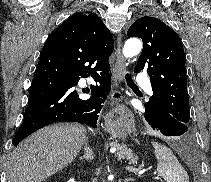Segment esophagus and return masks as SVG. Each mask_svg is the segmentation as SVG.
<instances>
[{
    "instance_id": "34e87169",
    "label": "esophagus",
    "mask_w": 211,
    "mask_h": 182,
    "mask_svg": "<svg viewBox=\"0 0 211 182\" xmlns=\"http://www.w3.org/2000/svg\"><path fill=\"white\" fill-rule=\"evenodd\" d=\"M121 42H122V36L118 35V38H117V43H118L117 59H116V63L114 65V69H113V85L115 87L123 79V76L126 72V61L121 54ZM122 99H123V95L120 91L113 90L111 92L110 101H111L112 104H118L120 101H122Z\"/></svg>"
}]
</instances>
